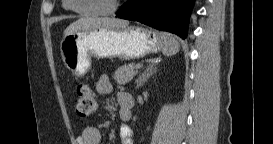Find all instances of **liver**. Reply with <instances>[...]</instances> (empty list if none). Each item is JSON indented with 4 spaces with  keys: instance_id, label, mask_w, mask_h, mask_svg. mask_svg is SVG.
Returning <instances> with one entry per match:
<instances>
[{
    "instance_id": "6515ba94",
    "label": "liver",
    "mask_w": 273,
    "mask_h": 144,
    "mask_svg": "<svg viewBox=\"0 0 273 144\" xmlns=\"http://www.w3.org/2000/svg\"><path fill=\"white\" fill-rule=\"evenodd\" d=\"M129 22L121 19L115 18H98V17H89V18H80L77 21L70 24L64 30V36L76 33L81 30H89L96 28H113L121 29L128 27Z\"/></svg>"
}]
</instances>
